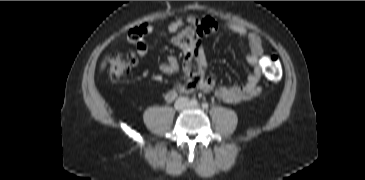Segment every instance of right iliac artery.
<instances>
[{"mask_svg": "<svg viewBox=\"0 0 365 180\" xmlns=\"http://www.w3.org/2000/svg\"><path fill=\"white\" fill-rule=\"evenodd\" d=\"M189 103H190V105H192V106H196V105L198 104V102H197V100H196V99H191V100L189 101Z\"/></svg>", "mask_w": 365, "mask_h": 180, "instance_id": "right-iliac-artery-1", "label": "right iliac artery"}]
</instances>
